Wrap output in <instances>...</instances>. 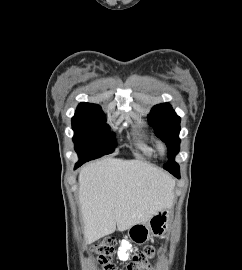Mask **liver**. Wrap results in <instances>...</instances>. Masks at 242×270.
<instances>
[{"label": "liver", "instance_id": "6515ba94", "mask_svg": "<svg viewBox=\"0 0 242 270\" xmlns=\"http://www.w3.org/2000/svg\"><path fill=\"white\" fill-rule=\"evenodd\" d=\"M175 181L139 160L105 158L79 174V204L88 242L146 223L170 207Z\"/></svg>", "mask_w": 242, "mask_h": 270}]
</instances>
